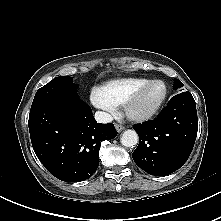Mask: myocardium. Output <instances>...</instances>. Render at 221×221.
Wrapping results in <instances>:
<instances>
[{"instance_id":"obj_1","label":"myocardium","mask_w":221,"mask_h":221,"mask_svg":"<svg viewBox=\"0 0 221 221\" xmlns=\"http://www.w3.org/2000/svg\"><path fill=\"white\" fill-rule=\"evenodd\" d=\"M155 84H160L163 87V93L159 101L150 110L146 112H143V113L136 112L135 108L138 102L140 101L145 90ZM167 96H168V87L164 81L160 79L149 80L148 82L143 84L141 87H139L134 92V94L125 102L124 104L125 115L129 120L137 122V123H144V122L151 121L159 114L160 110L162 109L167 99Z\"/></svg>"}]
</instances>
